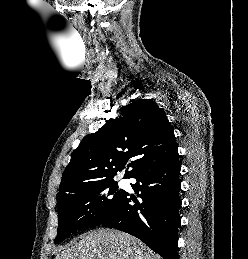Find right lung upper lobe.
Returning <instances> with one entry per match:
<instances>
[{
	"instance_id": "obj_1",
	"label": "right lung upper lobe",
	"mask_w": 248,
	"mask_h": 259,
	"mask_svg": "<svg viewBox=\"0 0 248 259\" xmlns=\"http://www.w3.org/2000/svg\"><path fill=\"white\" fill-rule=\"evenodd\" d=\"M119 111V118L85 136L72 152L57 200L73 188L113 180L132 157L124 178L178 153L173 127L154 101H133Z\"/></svg>"
}]
</instances>
